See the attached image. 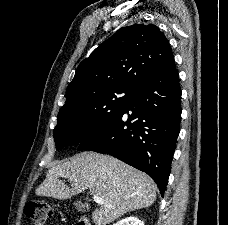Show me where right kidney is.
Segmentation results:
<instances>
[{
    "label": "right kidney",
    "mask_w": 228,
    "mask_h": 225,
    "mask_svg": "<svg viewBox=\"0 0 228 225\" xmlns=\"http://www.w3.org/2000/svg\"><path fill=\"white\" fill-rule=\"evenodd\" d=\"M116 225H144L143 221H139L137 217H126L122 221H118Z\"/></svg>",
    "instance_id": "right-kidney-1"
}]
</instances>
